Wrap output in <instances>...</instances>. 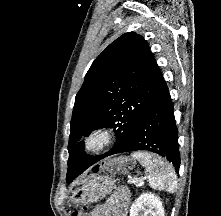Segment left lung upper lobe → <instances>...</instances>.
Here are the masks:
<instances>
[{
	"mask_svg": "<svg viewBox=\"0 0 221 216\" xmlns=\"http://www.w3.org/2000/svg\"><path fill=\"white\" fill-rule=\"evenodd\" d=\"M158 72L148 43L133 32L120 36L94 60L75 98L68 144V183L84 167V144L79 142L82 136L100 127H112L117 135L113 150L131 140L151 104Z\"/></svg>",
	"mask_w": 221,
	"mask_h": 216,
	"instance_id": "obj_1",
	"label": "left lung upper lobe"
}]
</instances>
